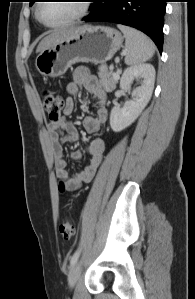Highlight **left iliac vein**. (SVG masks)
<instances>
[{
    "label": "left iliac vein",
    "instance_id": "1",
    "mask_svg": "<svg viewBox=\"0 0 195 299\" xmlns=\"http://www.w3.org/2000/svg\"><path fill=\"white\" fill-rule=\"evenodd\" d=\"M80 273H81V263L78 262L73 265V267L69 273L68 283H69L70 288H73L76 285V283L79 279Z\"/></svg>",
    "mask_w": 195,
    "mask_h": 299
}]
</instances>
